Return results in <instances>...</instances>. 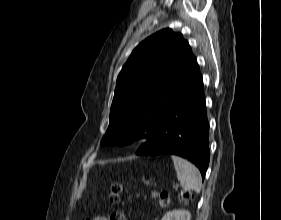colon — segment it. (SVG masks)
Returning <instances> with one entry per match:
<instances>
[{
    "mask_svg": "<svg viewBox=\"0 0 281 220\" xmlns=\"http://www.w3.org/2000/svg\"><path fill=\"white\" fill-rule=\"evenodd\" d=\"M122 187L119 183H114L111 186L109 200L112 204H117L120 201V194ZM152 196L158 201L161 206H166L169 203V195L164 191H152ZM193 199V195L189 191H184L179 194V200L182 203H190ZM108 220H125V217L120 212H113Z\"/></svg>",
    "mask_w": 281,
    "mask_h": 220,
    "instance_id": "5ec220e1",
    "label": "colon"
}]
</instances>
